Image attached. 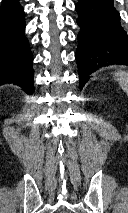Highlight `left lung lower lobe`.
<instances>
[{"mask_svg":"<svg viewBox=\"0 0 128 213\" xmlns=\"http://www.w3.org/2000/svg\"><path fill=\"white\" fill-rule=\"evenodd\" d=\"M75 10L81 28L75 58L82 89L89 74L106 62L128 65V38L113 0H79Z\"/></svg>","mask_w":128,"mask_h":213,"instance_id":"obj_1","label":"left lung lower lobe"}]
</instances>
